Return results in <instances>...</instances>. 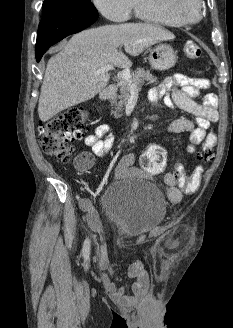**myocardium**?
<instances>
[{
	"mask_svg": "<svg viewBox=\"0 0 233 328\" xmlns=\"http://www.w3.org/2000/svg\"><path fill=\"white\" fill-rule=\"evenodd\" d=\"M197 12L192 18L185 17L179 11V0H147V5L179 25L188 26L198 23L203 17V0H196Z\"/></svg>",
	"mask_w": 233,
	"mask_h": 328,
	"instance_id": "1",
	"label": "myocardium"
}]
</instances>
